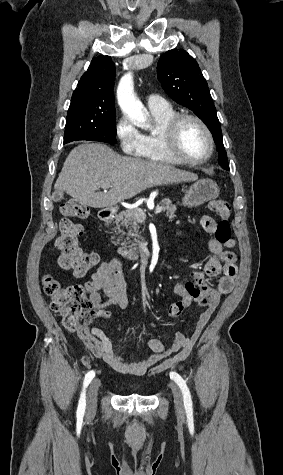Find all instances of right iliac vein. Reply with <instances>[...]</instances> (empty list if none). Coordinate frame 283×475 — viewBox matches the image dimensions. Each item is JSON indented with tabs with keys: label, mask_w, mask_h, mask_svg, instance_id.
Returning <instances> with one entry per match:
<instances>
[{
	"label": "right iliac vein",
	"mask_w": 283,
	"mask_h": 475,
	"mask_svg": "<svg viewBox=\"0 0 283 475\" xmlns=\"http://www.w3.org/2000/svg\"><path fill=\"white\" fill-rule=\"evenodd\" d=\"M99 387H100L99 379H94L89 386L88 395H87V405H86V414L89 417H91L95 413L96 398L98 395Z\"/></svg>",
	"instance_id": "1"
}]
</instances>
